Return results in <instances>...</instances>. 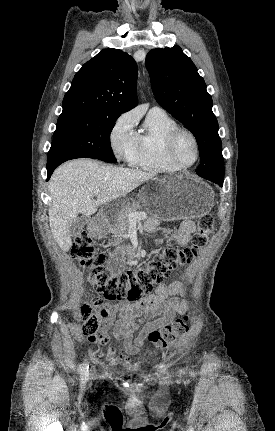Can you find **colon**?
Instances as JSON below:
<instances>
[{
	"label": "colon",
	"mask_w": 275,
	"mask_h": 431,
	"mask_svg": "<svg viewBox=\"0 0 275 431\" xmlns=\"http://www.w3.org/2000/svg\"><path fill=\"white\" fill-rule=\"evenodd\" d=\"M214 230V219L205 214L197 220V230L191 247L185 249L167 248L153 257L122 273L110 274L105 270V255L96 253L95 243L87 232L80 233L72 246L71 254L82 266L90 269L89 280L101 295L80 310L82 331L87 337H95L101 327V314L97 312L102 299L110 301H132L150 293L155 284L161 283L179 266L186 265L196 257ZM188 331V318L177 319L149 333V341L160 350H165Z\"/></svg>",
	"instance_id": "1"
}]
</instances>
